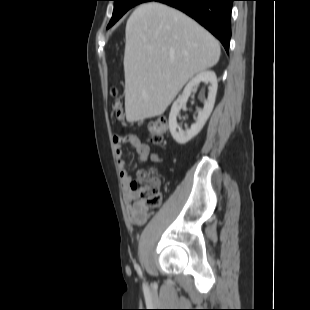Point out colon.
Listing matches in <instances>:
<instances>
[{"label": "colon", "instance_id": "colon-1", "mask_svg": "<svg viewBox=\"0 0 310 310\" xmlns=\"http://www.w3.org/2000/svg\"><path fill=\"white\" fill-rule=\"evenodd\" d=\"M113 96L112 110L113 117L126 124L122 112L121 101L116 97V89L111 90ZM147 130L149 139L153 143L162 141L167 132V121L164 118L154 119L148 122ZM154 170H140L137 174V179L131 181L130 188L137 194L138 201L147 209H155L162 202V195L159 190L156 179L153 177Z\"/></svg>", "mask_w": 310, "mask_h": 310}]
</instances>
